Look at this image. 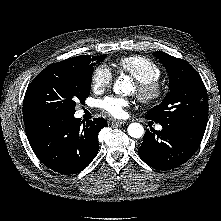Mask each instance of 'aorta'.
Wrapping results in <instances>:
<instances>
[{
	"instance_id": "1",
	"label": "aorta",
	"mask_w": 221,
	"mask_h": 221,
	"mask_svg": "<svg viewBox=\"0 0 221 221\" xmlns=\"http://www.w3.org/2000/svg\"><path fill=\"white\" fill-rule=\"evenodd\" d=\"M130 85V78L128 76H120L114 85L115 93L125 90V87ZM128 134L132 138H141L144 135V128L139 123H131L127 128Z\"/></svg>"
}]
</instances>
